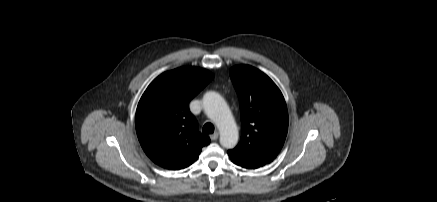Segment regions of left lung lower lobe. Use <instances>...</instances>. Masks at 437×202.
<instances>
[{
    "instance_id": "left-lung-lower-lobe-1",
    "label": "left lung lower lobe",
    "mask_w": 437,
    "mask_h": 202,
    "mask_svg": "<svg viewBox=\"0 0 437 202\" xmlns=\"http://www.w3.org/2000/svg\"><path fill=\"white\" fill-rule=\"evenodd\" d=\"M230 158H231L232 162L235 163L238 166H241V167H244V168H247V169H255V168H252V167L248 166L247 164L241 162L240 160H238L236 158H233L231 156H230Z\"/></svg>"
}]
</instances>
